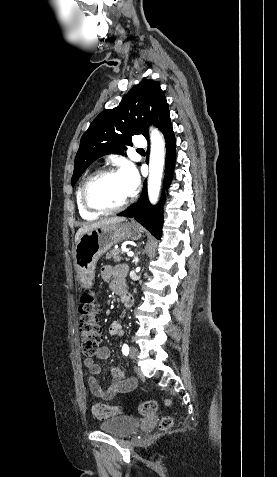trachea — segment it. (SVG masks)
Listing matches in <instances>:
<instances>
[{"instance_id": "trachea-1", "label": "trachea", "mask_w": 277, "mask_h": 477, "mask_svg": "<svg viewBox=\"0 0 277 477\" xmlns=\"http://www.w3.org/2000/svg\"><path fill=\"white\" fill-rule=\"evenodd\" d=\"M138 152H144V150H143V149H139Z\"/></svg>"}]
</instances>
